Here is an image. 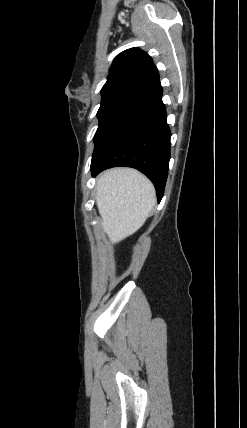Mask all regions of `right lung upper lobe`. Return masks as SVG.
I'll use <instances>...</instances> for the list:
<instances>
[{
  "label": "right lung upper lobe",
  "mask_w": 247,
  "mask_h": 428,
  "mask_svg": "<svg viewBox=\"0 0 247 428\" xmlns=\"http://www.w3.org/2000/svg\"><path fill=\"white\" fill-rule=\"evenodd\" d=\"M157 82L158 70L150 56L139 48H131L115 58L101 93L124 90L141 94Z\"/></svg>",
  "instance_id": "cb5924a9"
}]
</instances>
